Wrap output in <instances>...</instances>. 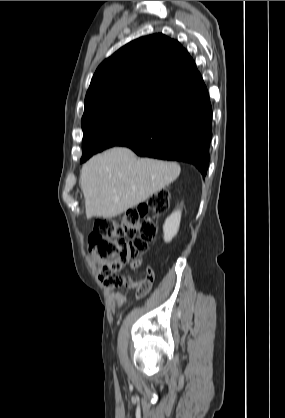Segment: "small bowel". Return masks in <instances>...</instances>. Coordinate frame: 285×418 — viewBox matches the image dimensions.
<instances>
[{"instance_id": "1", "label": "small bowel", "mask_w": 285, "mask_h": 418, "mask_svg": "<svg viewBox=\"0 0 285 418\" xmlns=\"http://www.w3.org/2000/svg\"><path fill=\"white\" fill-rule=\"evenodd\" d=\"M89 262L93 270L99 273L100 266H101L99 260L91 256L89 258ZM133 266L134 267L144 266V277L141 279L140 283L147 288V292H148L155 278L153 267L151 265L145 264L143 258L136 259ZM123 284L126 285L127 287H133L134 285L133 281L129 278H123ZM109 288L111 290V297L116 305V308H120L124 303V297L122 296L120 292L116 291L114 287H109Z\"/></svg>"}]
</instances>
